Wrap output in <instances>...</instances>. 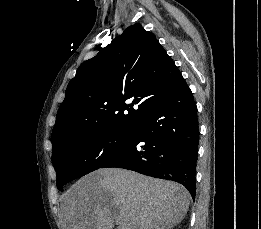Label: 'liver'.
Wrapping results in <instances>:
<instances>
[{"label": "liver", "mask_w": 261, "mask_h": 229, "mask_svg": "<svg viewBox=\"0 0 261 229\" xmlns=\"http://www.w3.org/2000/svg\"><path fill=\"white\" fill-rule=\"evenodd\" d=\"M62 199L66 229H172L184 219L191 197L174 181L98 169Z\"/></svg>", "instance_id": "obj_1"}]
</instances>
